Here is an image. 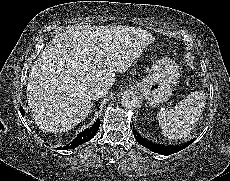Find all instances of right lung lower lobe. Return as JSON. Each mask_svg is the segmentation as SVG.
<instances>
[{
  "label": "right lung lower lobe",
  "mask_w": 230,
  "mask_h": 181,
  "mask_svg": "<svg viewBox=\"0 0 230 181\" xmlns=\"http://www.w3.org/2000/svg\"><path fill=\"white\" fill-rule=\"evenodd\" d=\"M20 112L22 115H24V110L23 108H20ZM100 127V120L97 119V121L92 125L91 128L89 129H85L83 132H81L72 142H70L69 144H67L66 146L62 147H58V150H68V149H73L78 147L79 145L89 141L90 139H92L95 134L97 133L98 129Z\"/></svg>",
  "instance_id": "obj_1"
}]
</instances>
